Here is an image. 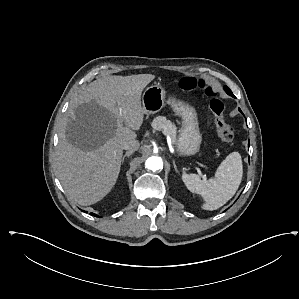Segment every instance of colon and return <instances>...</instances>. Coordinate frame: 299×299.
Segmentation results:
<instances>
[{
  "label": "colon",
  "instance_id": "1",
  "mask_svg": "<svg viewBox=\"0 0 299 299\" xmlns=\"http://www.w3.org/2000/svg\"><path fill=\"white\" fill-rule=\"evenodd\" d=\"M178 86L183 91H191L200 88L209 98V107L214 117L215 128L218 138L224 143H231L234 140V130L226 122L224 116V103L217 97L215 90L206 84L202 79L194 77L182 78Z\"/></svg>",
  "mask_w": 299,
  "mask_h": 299
}]
</instances>
